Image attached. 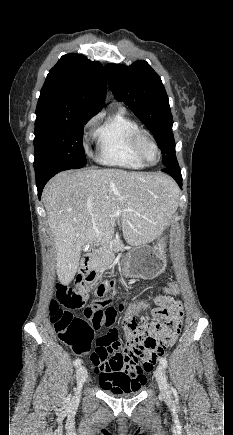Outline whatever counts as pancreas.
<instances>
[{
	"mask_svg": "<svg viewBox=\"0 0 233 435\" xmlns=\"http://www.w3.org/2000/svg\"><path fill=\"white\" fill-rule=\"evenodd\" d=\"M122 250V243L119 237L111 240L95 258V266L101 270H106L115 259V252Z\"/></svg>",
	"mask_w": 233,
	"mask_h": 435,
	"instance_id": "1",
	"label": "pancreas"
}]
</instances>
